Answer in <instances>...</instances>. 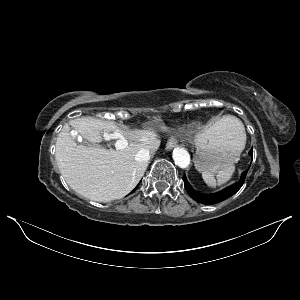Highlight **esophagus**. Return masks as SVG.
<instances>
[{"label":"esophagus","instance_id":"34e87169","mask_svg":"<svg viewBox=\"0 0 300 300\" xmlns=\"http://www.w3.org/2000/svg\"><path fill=\"white\" fill-rule=\"evenodd\" d=\"M176 140L174 138H170L166 144V149L167 150H172L174 147H176Z\"/></svg>","mask_w":300,"mask_h":300}]
</instances>
